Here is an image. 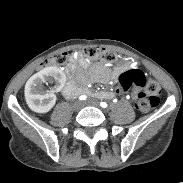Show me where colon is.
<instances>
[{"mask_svg": "<svg viewBox=\"0 0 183 183\" xmlns=\"http://www.w3.org/2000/svg\"><path fill=\"white\" fill-rule=\"evenodd\" d=\"M84 54L92 60H101L105 63H114L118 60V56L113 51L97 46L86 47ZM67 61V53H57L42 61L39 64V69H44L48 66L64 65ZM132 87L140 88L135 102L137 110L145 113L157 107L161 94V86L155 79L146 77L142 71L137 69L125 71L118 78V86L115 88V93L118 96H123Z\"/></svg>", "mask_w": 183, "mask_h": 183, "instance_id": "obj_1", "label": "colon"}]
</instances>
